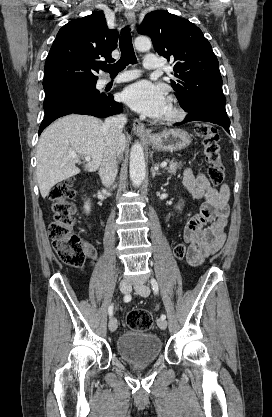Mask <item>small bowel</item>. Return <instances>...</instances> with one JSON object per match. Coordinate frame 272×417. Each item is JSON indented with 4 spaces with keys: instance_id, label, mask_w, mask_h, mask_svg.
I'll use <instances>...</instances> for the list:
<instances>
[{
    "instance_id": "small-bowel-1",
    "label": "small bowel",
    "mask_w": 272,
    "mask_h": 417,
    "mask_svg": "<svg viewBox=\"0 0 272 417\" xmlns=\"http://www.w3.org/2000/svg\"><path fill=\"white\" fill-rule=\"evenodd\" d=\"M183 184L193 198L203 201L199 212L185 224L183 235L188 245L186 259L190 265L198 266L225 243L230 189L227 184L219 189L213 187L205 174L195 175L189 168L183 173ZM87 252L94 265L96 250L88 246Z\"/></svg>"
}]
</instances>
